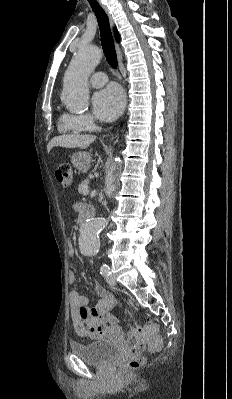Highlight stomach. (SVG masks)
<instances>
[{"instance_id":"obj_1","label":"stomach","mask_w":232,"mask_h":399,"mask_svg":"<svg viewBox=\"0 0 232 399\" xmlns=\"http://www.w3.org/2000/svg\"><path fill=\"white\" fill-rule=\"evenodd\" d=\"M71 162L79 172H88L92 158L88 152H76V154H73Z\"/></svg>"}]
</instances>
